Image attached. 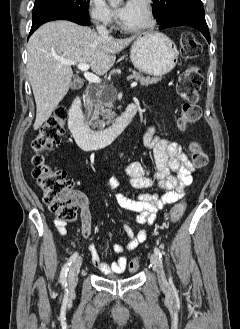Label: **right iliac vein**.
Wrapping results in <instances>:
<instances>
[{"label": "right iliac vein", "mask_w": 240, "mask_h": 329, "mask_svg": "<svg viewBox=\"0 0 240 329\" xmlns=\"http://www.w3.org/2000/svg\"><path fill=\"white\" fill-rule=\"evenodd\" d=\"M82 264L81 258H77L70 266L69 273H68V283L69 289L73 290L78 281V273Z\"/></svg>", "instance_id": "obj_1"}]
</instances>
